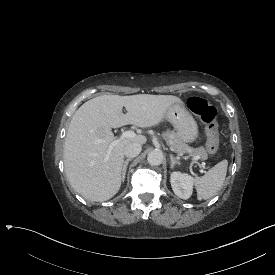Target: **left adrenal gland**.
Wrapping results in <instances>:
<instances>
[{
    "instance_id": "a2214340",
    "label": "left adrenal gland",
    "mask_w": 275,
    "mask_h": 275,
    "mask_svg": "<svg viewBox=\"0 0 275 275\" xmlns=\"http://www.w3.org/2000/svg\"><path fill=\"white\" fill-rule=\"evenodd\" d=\"M170 160H171V165H170V168H171V169L174 167L175 164H178V165L181 164L180 161H177V160L173 157L172 154L170 155Z\"/></svg>"
}]
</instances>
